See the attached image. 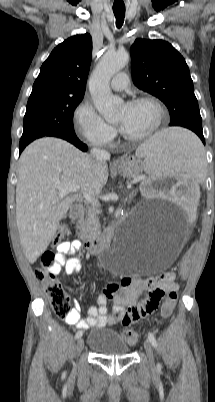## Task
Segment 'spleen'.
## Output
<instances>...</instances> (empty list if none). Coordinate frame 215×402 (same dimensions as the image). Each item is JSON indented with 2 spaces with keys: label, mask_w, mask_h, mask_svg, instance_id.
I'll return each instance as SVG.
<instances>
[{
  "label": "spleen",
  "mask_w": 215,
  "mask_h": 402,
  "mask_svg": "<svg viewBox=\"0 0 215 402\" xmlns=\"http://www.w3.org/2000/svg\"><path fill=\"white\" fill-rule=\"evenodd\" d=\"M203 150L192 128H165L140 145L137 154L145 156L143 169L149 176L187 174L189 182H200L205 165Z\"/></svg>",
  "instance_id": "1"
}]
</instances>
